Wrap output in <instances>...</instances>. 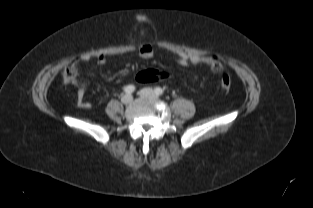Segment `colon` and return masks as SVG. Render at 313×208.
Listing matches in <instances>:
<instances>
[{"instance_id":"obj_1","label":"colon","mask_w":313,"mask_h":208,"mask_svg":"<svg viewBox=\"0 0 313 208\" xmlns=\"http://www.w3.org/2000/svg\"><path fill=\"white\" fill-rule=\"evenodd\" d=\"M206 58L210 62V68L214 73H221L222 66L219 60L214 55H207ZM171 78V74L157 69H147L139 72L136 75V80L140 83H151ZM64 80L67 84L77 86L79 78L76 67H68L65 72ZM220 87L224 91H228L231 87V78L228 74L224 73L220 78Z\"/></svg>"}]
</instances>
